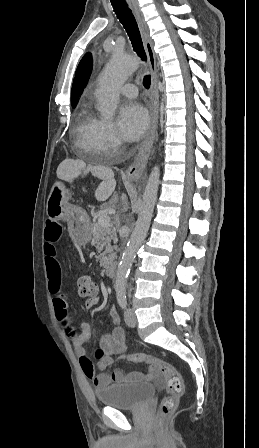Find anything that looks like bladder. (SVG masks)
<instances>
[{"instance_id": "bladder-1", "label": "bladder", "mask_w": 259, "mask_h": 448, "mask_svg": "<svg viewBox=\"0 0 259 448\" xmlns=\"http://www.w3.org/2000/svg\"><path fill=\"white\" fill-rule=\"evenodd\" d=\"M155 393L150 383L112 384L95 391L98 402L104 406L136 410L146 405Z\"/></svg>"}]
</instances>
